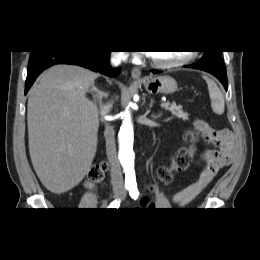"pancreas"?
<instances>
[{
	"label": "pancreas",
	"instance_id": "obj_1",
	"mask_svg": "<svg viewBox=\"0 0 260 260\" xmlns=\"http://www.w3.org/2000/svg\"><path fill=\"white\" fill-rule=\"evenodd\" d=\"M170 106L166 107L165 109L170 111L172 115L176 116L182 120H188V113L182 110V107L179 105L177 106L176 103L169 104Z\"/></svg>",
	"mask_w": 260,
	"mask_h": 260
}]
</instances>
